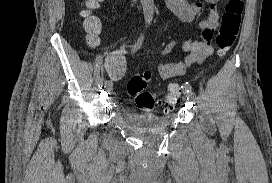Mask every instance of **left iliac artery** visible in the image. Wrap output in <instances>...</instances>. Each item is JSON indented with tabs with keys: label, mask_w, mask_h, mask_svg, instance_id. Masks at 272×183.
I'll return each instance as SVG.
<instances>
[{
	"label": "left iliac artery",
	"mask_w": 272,
	"mask_h": 183,
	"mask_svg": "<svg viewBox=\"0 0 272 183\" xmlns=\"http://www.w3.org/2000/svg\"><path fill=\"white\" fill-rule=\"evenodd\" d=\"M182 89L187 93H193L191 85L187 82L183 84Z\"/></svg>",
	"instance_id": "obj_1"
}]
</instances>
